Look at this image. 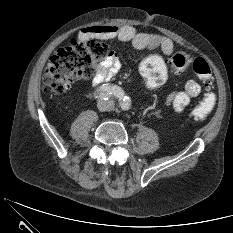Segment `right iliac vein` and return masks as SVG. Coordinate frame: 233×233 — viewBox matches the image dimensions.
I'll return each mask as SVG.
<instances>
[{
    "label": "right iliac vein",
    "instance_id": "right-iliac-vein-1",
    "mask_svg": "<svg viewBox=\"0 0 233 233\" xmlns=\"http://www.w3.org/2000/svg\"><path fill=\"white\" fill-rule=\"evenodd\" d=\"M109 106H110L109 102H105V101H99L97 104L98 110L101 112L108 110Z\"/></svg>",
    "mask_w": 233,
    "mask_h": 233
}]
</instances>
